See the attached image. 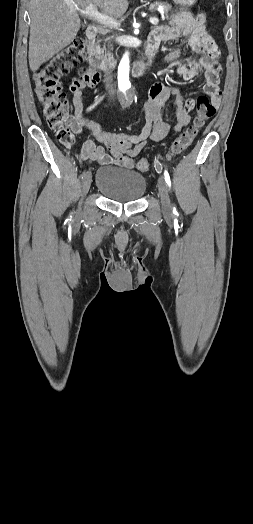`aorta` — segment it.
Returning a JSON list of instances; mask_svg holds the SVG:
<instances>
[{
  "label": "aorta",
  "mask_w": 253,
  "mask_h": 524,
  "mask_svg": "<svg viewBox=\"0 0 253 524\" xmlns=\"http://www.w3.org/2000/svg\"><path fill=\"white\" fill-rule=\"evenodd\" d=\"M129 71V56L128 53H126L121 59L118 67V87L123 93H126V91L131 87Z\"/></svg>",
  "instance_id": "1"
}]
</instances>
